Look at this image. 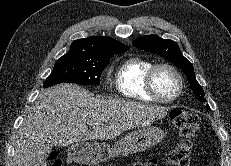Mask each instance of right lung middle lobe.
<instances>
[{
  "mask_svg": "<svg viewBox=\"0 0 231 166\" xmlns=\"http://www.w3.org/2000/svg\"><path fill=\"white\" fill-rule=\"evenodd\" d=\"M113 56L114 54L91 57L66 53L57 60L43 87L46 88L59 83L99 85L103 69Z\"/></svg>",
  "mask_w": 231,
  "mask_h": 166,
  "instance_id": "obj_1",
  "label": "right lung middle lobe"
}]
</instances>
